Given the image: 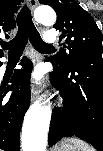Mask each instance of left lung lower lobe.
<instances>
[{
  "label": "left lung lower lobe",
  "mask_w": 103,
  "mask_h": 151,
  "mask_svg": "<svg viewBox=\"0 0 103 151\" xmlns=\"http://www.w3.org/2000/svg\"><path fill=\"white\" fill-rule=\"evenodd\" d=\"M53 68L51 81L60 91L63 105L52 111L49 146L64 136H76L102 151L103 54H84L66 69L54 64Z\"/></svg>",
  "instance_id": "obj_1"
}]
</instances>
